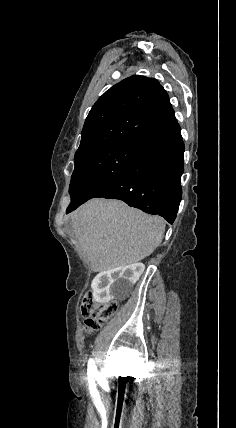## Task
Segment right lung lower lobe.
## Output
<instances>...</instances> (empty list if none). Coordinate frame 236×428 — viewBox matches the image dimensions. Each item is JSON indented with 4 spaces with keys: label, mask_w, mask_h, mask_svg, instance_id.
I'll use <instances>...</instances> for the list:
<instances>
[{
    "label": "right lung lower lobe",
    "mask_w": 236,
    "mask_h": 428,
    "mask_svg": "<svg viewBox=\"0 0 236 428\" xmlns=\"http://www.w3.org/2000/svg\"><path fill=\"white\" fill-rule=\"evenodd\" d=\"M183 153L180 126L173 116L139 140L126 169L95 197L119 199L173 223L182 198Z\"/></svg>",
    "instance_id": "1"
}]
</instances>
